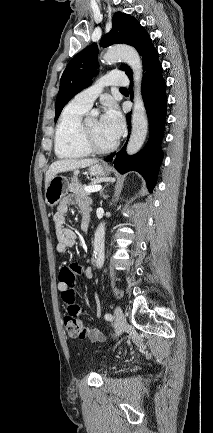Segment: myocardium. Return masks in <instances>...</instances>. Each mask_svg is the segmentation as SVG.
I'll return each mask as SVG.
<instances>
[{
  "mask_svg": "<svg viewBox=\"0 0 213 433\" xmlns=\"http://www.w3.org/2000/svg\"><path fill=\"white\" fill-rule=\"evenodd\" d=\"M86 122H83L81 124L80 127V137H81V141L82 144L84 145V147L90 152V153H95V154H106L109 152H112L113 150L116 149V147L118 146V143L115 141L113 144H111L110 146L107 147H100L98 146L93 139L91 138V135L88 131Z\"/></svg>",
  "mask_w": 213,
  "mask_h": 433,
  "instance_id": "myocardium-1",
  "label": "myocardium"
}]
</instances>
